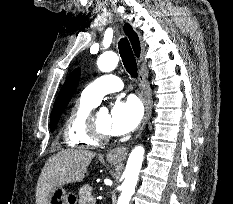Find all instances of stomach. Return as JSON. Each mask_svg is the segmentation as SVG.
I'll return each instance as SVG.
<instances>
[{"mask_svg": "<svg viewBox=\"0 0 233 204\" xmlns=\"http://www.w3.org/2000/svg\"><path fill=\"white\" fill-rule=\"evenodd\" d=\"M108 161L111 164L119 163L118 161L112 159H108ZM70 196H72V194L68 193L66 189H64L63 187H57L52 191L48 204H70Z\"/></svg>", "mask_w": 233, "mask_h": 204, "instance_id": "1", "label": "stomach"}]
</instances>
